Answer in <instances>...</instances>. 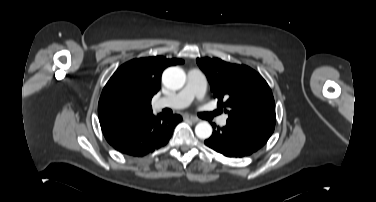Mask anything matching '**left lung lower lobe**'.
Returning <instances> with one entry per match:
<instances>
[{"label": "left lung lower lobe", "instance_id": "left-lung-lower-lobe-1", "mask_svg": "<svg viewBox=\"0 0 376 202\" xmlns=\"http://www.w3.org/2000/svg\"><path fill=\"white\" fill-rule=\"evenodd\" d=\"M205 145L227 157L248 156L266 144L272 133L250 125L227 120L226 126L216 128Z\"/></svg>", "mask_w": 376, "mask_h": 202}]
</instances>
